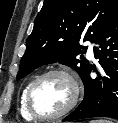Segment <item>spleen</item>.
Instances as JSON below:
<instances>
[{"instance_id": "obj_1", "label": "spleen", "mask_w": 118, "mask_h": 123, "mask_svg": "<svg viewBox=\"0 0 118 123\" xmlns=\"http://www.w3.org/2000/svg\"><path fill=\"white\" fill-rule=\"evenodd\" d=\"M89 123H113L112 121L110 120H91Z\"/></svg>"}]
</instances>
